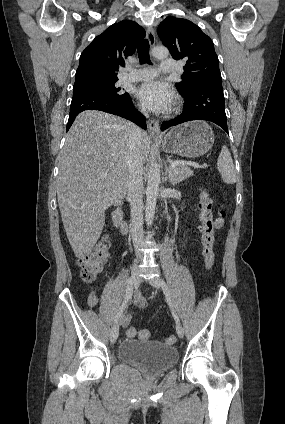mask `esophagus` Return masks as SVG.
Returning <instances> with one entry per match:
<instances>
[{"mask_svg":"<svg viewBox=\"0 0 285 424\" xmlns=\"http://www.w3.org/2000/svg\"><path fill=\"white\" fill-rule=\"evenodd\" d=\"M146 36L149 41L150 47L153 48L155 45V34L152 27H148L146 30ZM148 131L151 136L160 137L161 131H160V125L157 120H149L148 121Z\"/></svg>","mask_w":285,"mask_h":424,"instance_id":"34e87169","label":"esophagus"}]
</instances>
